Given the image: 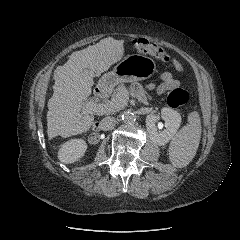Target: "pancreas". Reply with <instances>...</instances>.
Here are the masks:
<instances>
[{"instance_id":"cf45deb5","label":"pancreas","mask_w":240,"mask_h":240,"mask_svg":"<svg viewBox=\"0 0 240 240\" xmlns=\"http://www.w3.org/2000/svg\"><path fill=\"white\" fill-rule=\"evenodd\" d=\"M128 98H129V94L124 84H120L117 88H115L111 96L112 100L119 101L117 110H120L127 105Z\"/></svg>"}]
</instances>
